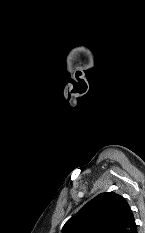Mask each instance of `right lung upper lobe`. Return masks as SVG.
Instances as JSON below:
<instances>
[{
	"instance_id": "right-lung-upper-lobe-1",
	"label": "right lung upper lobe",
	"mask_w": 145,
	"mask_h": 233,
	"mask_svg": "<svg viewBox=\"0 0 145 233\" xmlns=\"http://www.w3.org/2000/svg\"><path fill=\"white\" fill-rule=\"evenodd\" d=\"M135 219L127 201L114 192L86 203L62 228V233H133Z\"/></svg>"
}]
</instances>
